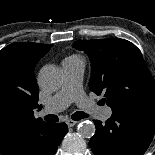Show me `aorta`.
<instances>
[{
	"label": "aorta",
	"instance_id": "aorta-1",
	"mask_svg": "<svg viewBox=\"0 0 155 155\" xmlns=\"http://www.w3.org/2000/svg\"><path fill=\"white\" fill-rule=\"evenodd\" d=\"M38 81L44 89L55 91L62 85L63 73L56 65H45L38 74ZM78 132L82 137L90 139L95 134V125L89 120L82 121L78 125Z\"/></svg>",
	"mask_w": 155,
	"mask_h": 155
}]
</instances>
